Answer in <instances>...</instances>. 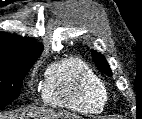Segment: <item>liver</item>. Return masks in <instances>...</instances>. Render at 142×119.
Segmentation results:
<instances>
[{
	"instance_id": "1",
	"label": "liver",
	"mask_w": 142,
	"mask_h": 119,
	"mask_svg": "<svg viewBox=\"0 0 142 119\" xmlns=\"http://www.w3.org/2000/svg\"><path fill=\"white\" fill-rule=\"evenodd\" d=\"M17 116H4L0 113V119H16ZM21 119H70L71 116H64L63 114H58L53 111H47L43 109H30L23 111L19 116ZM76 119H79L78 117Z\"/></svg>"
}]
</instances>
